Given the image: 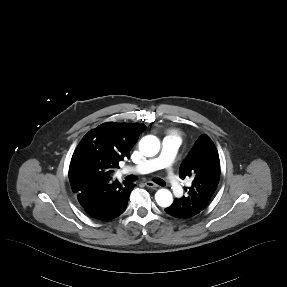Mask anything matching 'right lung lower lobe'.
I'll use <instances>...</instances> for the list:
<instances>
[{
    "label": "right lung lower lobe",
    "instance_id": "obj_1",
    "mask_svg": "<svg viewBox=\"0 0 287 287\" xmlns=\"http://www.w3.org/2000/svg\"><path fill=\"white\" fill-rule=\"evenodd\" d=\"M133 184L118 181L109 182V178H97L84 183L76 198L82 210L97 220H110L122 214L128 204Z\"/></svg>",
    "mask_w": 287,
    "mask_h": 287
}]
</instances>
